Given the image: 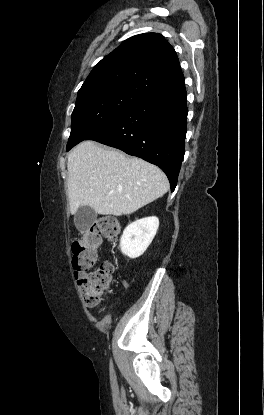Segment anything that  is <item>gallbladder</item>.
<instances>
[{"label":"gallbladder","instance_id":"bac80fb5","mask_svg":"<svg viewBox=\"0 0 264 415\" xmlns=\"http://www.w3.org/2000/svg\"><path fill=\"white\" fill-rule=\"evenodd\" d=\"M97 218V213L89 206H81L74 216L76 228L85 233Z\"/></svg>","mask_w":264,"mask_h":415}]
</instances>
